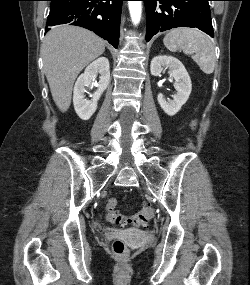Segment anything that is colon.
Returning a JSON list of instances; mask_svg holds the SVG:
<instances>
[{
  "label": "colon",
  "instance_id": "1",
  "mask_svg": "<svg viewBox=\"0 0 250 285\" xmlns=\"http://www.w3.org/2000/svg\"><path fill=\"white\" fill-rule=\"evenodd\" d=\"M118 201L116 198H110L105 205V217L113 225L125 226H146L154 217L155 210L145 204L142 208L131 216H124L116 211ZM112 252L117 258H125L128 254V248L124 241L117 239L112 243Z\"/></svg>",
  "mask_w": 250,
  "mask_h": 285
}]
</instances>
